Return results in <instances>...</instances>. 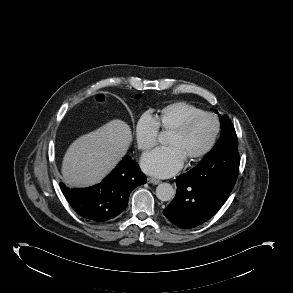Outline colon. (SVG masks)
<instances>
[{
    "label": "colon",
    "mask_w": 293,
    "mask_h": 293,
    "mask_svg": "<svg viewBox=\"0 0 293 293\" xmlns=\"http://www.w3.org/2000/svg\"><path fill=\"white\" fill-rule=\"evenodd\" d=\"M96 102L101 105L104 106L106 104V97L103 94H99L96 96Z\"/></svg>",
    "instance_id": "colon-1"
}]
</instances>
